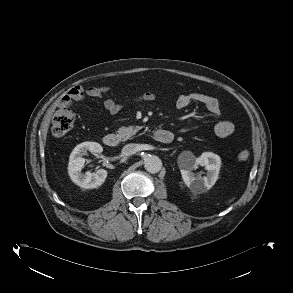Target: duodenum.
Here are the masks:
<instances>
[{"label":"duodenum","instance_id":"1","mask_svg":"<svg viewBox=\"0 0 293 293\" xmlns=\"http://www.w3.org/2000/svg\"><path fill=\"white\" fill-rule=\"evenodd\" d=\"M154 139L160 143H170L173 139L171 132L159 129L154 133ZM103 142L108 147H117L121 143V136L117 133H108L103 137Z\"/></svg>","mask_w":293,"mask_h":293}]
</instances>
